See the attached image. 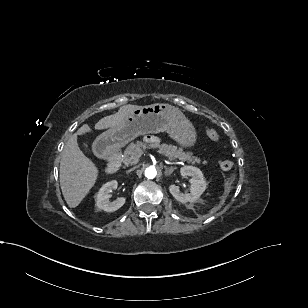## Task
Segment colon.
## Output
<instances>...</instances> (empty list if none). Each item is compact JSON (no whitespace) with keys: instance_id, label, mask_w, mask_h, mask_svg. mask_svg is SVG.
<instances>
[{"instance_id":"5ec220e1","label":"colon","mask_w":308,"mask_h":308,"mask_svg":"<svg viewBox=\"0 0 308 308\" xmlns=\"http://www.w3.org/2000/svg\"><path fill=\"white\" fill-rule=\"evenodd\" d=\"M206 134L212 141H218L220 139L218 132L212 128H207ZM218 164L219 167L224 171L230 170L233 167V162L229 159L219 160Z\"/></svg>"}]
</instances>
